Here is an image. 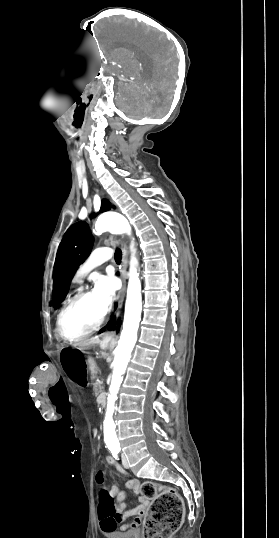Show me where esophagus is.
I'll return each instance as SVG.
<instances>
[{
    "label": "esophagus",
    "instance_id": "1",
    "mask_svg": "<svg viewBox=\"0 0 279 538\" xmlns=\"http://www.w3.org/2000/svg\"><path fill=\"white\" fill-rule=\"evenodd\" d=\"M127 263H128L127 245L125 244V242H122V262H121V268H120V278L122 281V287L119 290L118 295H117L118 309L121 308L123 304V300H124V295H125ZM117 315H118V312H117ZM115 336H116L115 331H106L103 334V337L108 340L115 338Z\"/></svg>",
    "mask_w": 279,
    "mask_h": 538
}]
</instances>
